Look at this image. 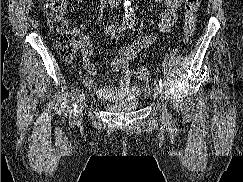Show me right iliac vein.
I'll return each instance as SVG.
<instances>
[{
  "instance_id": "1",
  "label": "right iliac vein",
  "mask_w": 243,
  "mask_h": 182,
  "mask_svg": "<svg viewBox=\"0 0 243 182\" xmlns=\"http://www.w3.org/2000/svg\"><path fill=\"white\" fill-rule=\"evenodd\" d=\"M83 105H84V97H80L79 101L76 106V121L78 124L81 123L82 121V111H83Z\"/></svg>"
}]
</instances>
